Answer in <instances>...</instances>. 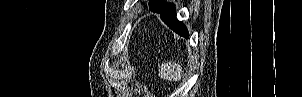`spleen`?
<instances>
[{
	"mask_svg": "<svg viewBox=\"0 0 302 97\" xmlns=\"http://www.w3.org/2000/svg\"><path fill=\"white\" fill-rule=\"evenodd\" d=\"M182 67L178 63L161 65L159 76L169 81H178L181 78Z\"/></svg>",
	"mask_w": 302,
	"mask_h": 97,
	"instance_id": "spleen-1",
	"label": "spleen"
}]
</instances>
